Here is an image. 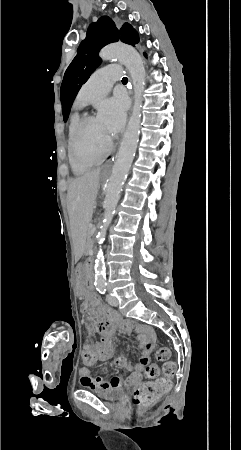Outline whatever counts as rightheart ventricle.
Returning a JSON list of instances; mask_svg holds the SVG:
<instances>
[{"mask_svg": "<svg viewBox=\"0 0 241 450\" xmlns=\"http://www.w3.org/2000/svg\"><path fill=\"white\" fill-rule=\"evenodd\" d=\"M79 118V114L78 113H74L73 115H72V117H71V121H70V127H69V139H70V137L72 136V128H73V125H74V123L77 121V119ZM108 126H110V124H107ZM82 130V129H81ZM69 144H72L71 142H70V140H69ZM79 152V151H78ZM73 151H72V149H69V155H70V159H71V162L73 163V165L74 166H76V167H78V166H85V165H82V163H81V158H82V156H81V158H80V161L79 162H73L72 161V158H73ZM93 160H96V158L95 157H93Z\"/></svg>", "mask_w": 241, "mask_h": 450, "instance_id": "1", "label": "right heart ventricle"}]
</instances>
